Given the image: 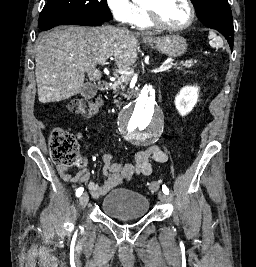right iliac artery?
<instances>
[{
  "label": "right iliac artery",
  "instance_id": "right-iliac-artery-1",
  "mask_svg": "<svg viewBox=\"0 0 256 267\" xmlns=\"http://www.w3.org/2000/svg\"><path fill=\"white\" fill-rule=\"evenodd\" d=\"M84 191V188L83 187H79L77 190H76V196L77 197H80L81 194L83 193Z\"/></svg>",
  "mask_w": 256,
  "mask_h": 267
}]
</instances>
